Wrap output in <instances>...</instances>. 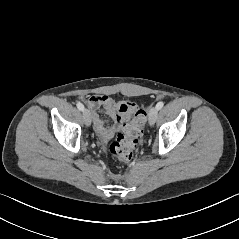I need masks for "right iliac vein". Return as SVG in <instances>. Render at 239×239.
I'll use <instances>...</instances> for the list:
<instances>
[{
	"label": "right iliac vein",
	"mask_w": 239,
	"mask_h": 239,
	"mask_svg": "<svg viewBox=\"0 0 239 239\" xmlns=\"http://www.w3.org/2000/svg\"><path fill=\"white\" fill-rule=\"evenodd\" d=\"M83 120L86 126H90L91 125V114L89 112V110L84 109L83 110Z\"/></svg>",
	"instance_id": "obj_1"
}]
</instances>
